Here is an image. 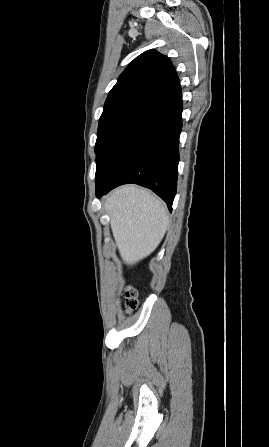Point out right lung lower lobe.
I'll return each instance as SVG.
<instances>
[{
  "instance_id": "right-lung-lower-lobe-1",
  "label": "right lung lower lobe",
  "mask_w": 269,
  "mask_h": 447,
  "mask_svg": "<svg viewBox=\"0 0 269 447\" xmlns=\"http://www.w3.org/2000/svg\"><path fill=\"white\" fill-rule=\"evenodd\" d=\"M182 129L180 84L127 115L96 158V196L136 183L159 195L171 212L176 194L179 135Z\"/></svg>"
}]
</instances>
